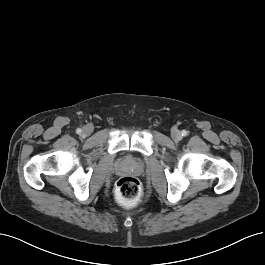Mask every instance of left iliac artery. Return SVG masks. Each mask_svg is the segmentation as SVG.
<instances>
[{"mask_svg": "<svg viewBox=\"0 0 265 265\" xmlns=\"http://www.w3.org/2000/svg\"><path fill=\"white\" fill-rule=\"evenodd\" d=\"M187 132L185 130L182 131V136H186Z\"/></svg>", "mask_w": 265, "mask_h": 265, "instance_id": "44dca946", "label": "left iliac artery"}]
</instances>
